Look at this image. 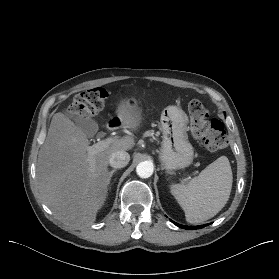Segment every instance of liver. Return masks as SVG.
I'll list each match as a JSON object with an SVG mask.
<instances>
[{
	"label": "liver",
	"instance_id": "liver-1",
	"mask_svg": "<svg viewBox=\"0 0 279 279\" xmlns=\"http://www.w3.org/2000/svg\"><path fill=\"white\" fill-rule=\"evenodd\" d=\"M116 114L124 128L136 130L140 126L142 111L137 102L120 101ZM89 144L81 128L58 112L52 117L38 154L36 181L40 196L50 210L73 229L95 222L107 196L109 156L118 150L132 149L134 140L122 138L94 155L87 152Z\"/></svg>",
	"mask_w": 279,
	"mask_h": 279
}]
</instances>
